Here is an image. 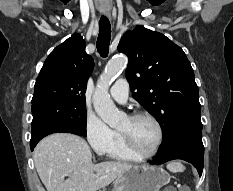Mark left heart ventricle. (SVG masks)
Wrapping results in <instances>:
<instances>
[{
    "instance_id": "1",
    "label": "left heart ventricle",
    "mask_w": 233,
    "mask_h": 191,
    "mask_svg": "<svg viewBox=\"0 0 233 191\" xmlns=\"http://www.w3.org/2000/svg\"><path fill=\"white\" fill-rule=\"evenodd\" d=\"M119 130L128 134L138 149L144 153L151 152L156 146L158 132L156 126L148 119L132 121L128 118Z\"/></svg>"
}]
</instances>
